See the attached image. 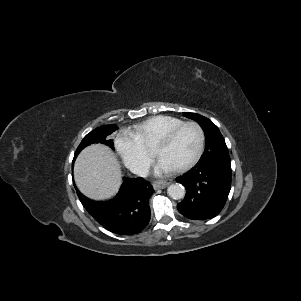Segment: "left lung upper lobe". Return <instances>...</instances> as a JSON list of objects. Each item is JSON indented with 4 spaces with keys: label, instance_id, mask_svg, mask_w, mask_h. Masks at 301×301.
Wrapping results in <instances>:
<instances>
[{
    "label": "left lung upper lobe",
    "instance_id": "obj_1",
    "mask_svg": "<svg viewBox=\"0 0 301 301\" xmlns=\"http://www.w3.org/2000/svg\"><path fill=\"white\" fill-rule=\"evenodd\" d=\"M184 115L200 123L205 133V151L197 164L216 161L231 164L228 148L218 127L211 120L199 114L185 112Z\"/></svg>",
    "mask_w": 301,
    "mask_h": 301
}]
</instances>
